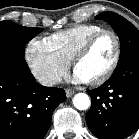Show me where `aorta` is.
Masks as SVG:
<instances>
[{
    "label": "aorta",
    "instance_id": "aorta-1",
    "mask_svg": "<svg viewBox=\"0 0 139 139\" xmlns=\"http://www.w3.org/2000/svg\"><path fill=\"white\" fill-rule=\"evenodd\" d=\"M73 105L78 110H87L91 105V100L87 94L77 93L73 97Z\"/></svg>",
    "mask_w": 139,
    "mask_h": 139
}]
</instances>
